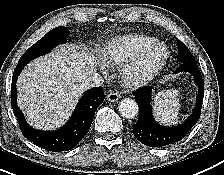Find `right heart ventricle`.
<instances>
[{
	"label": "right heart ventricle",
	"instance_id": "e07e8e85",
	"mask_svg": "<svg viewBox=\"0 0 224 175\" xmlns=\"http://www.w3.org/2000/svg\"><path fill=\"white\" fill-rule=\"evenodd\" d=\"M143 34L121 35L109 40L101 50V60L109 66H118L133 58L142 48L154 42Z\"/></svg>",
	"mask_w": 224,
	"mask_h": 175
}]
</instances>
